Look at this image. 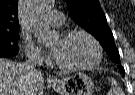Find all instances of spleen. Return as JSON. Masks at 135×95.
Segmentation results:
<instances>
[{
    "label": "spleen",
    "instance_id": "3e777b00",
    "mask_svg": "<svg viewBox=\"0 0 135 95\" xmlns=\"http://www.w3.org/2000/svg\"><path fill=\"white\" fill-rule=\"evenodd\" d=\"M112 88L109 90L108 95H124L123 90L118 86L116 80L109 78Z\"/></svg>",
    "mask_w": 135,
    "mask_h": 95
}]
</instances>
